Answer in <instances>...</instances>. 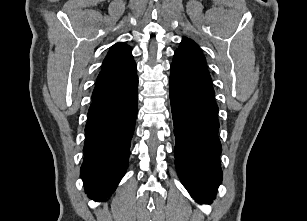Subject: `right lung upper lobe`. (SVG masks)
I'll return each mask as SVG.
<instances>
[{"mask_svg": "<svg viewBox=\"0 0 307 221\" xmlns=\"http://www.w3.org/2000/svg\"><path fill=\"white\" fill-rule=\"evenodd\" d=\"M136 71L131 48L123 42L114 44L103 61L92 97L122 89L137 77Z\"/></svg>", "mask_w": 307, "mask_h": 221, "instance_id": "obj_1", "label": "right lung upper lobe"}]
</instances>
